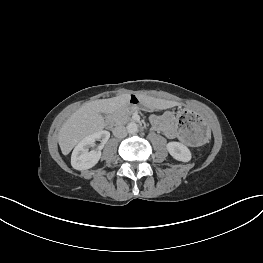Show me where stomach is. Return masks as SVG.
Returning <instances> with one entry per match:
<instances>
[{"label": "stomach", "instance_id": "0dacf381", "mask_svg": "<svg viewBox=\"0 0 263 263\" xmlns=\"http://www.w3.org/2000/svg\"><path fill=\"white\" fill-rule=\"evenodd\" d=\"M128 109H153V107L134 95L130 96ZM173 125L183 140L192 145H202L210 137V130L206 122L192 109L179 110Z\"/></svg>", "mask_w": 263, "mask_h": 263}]
</instances>
